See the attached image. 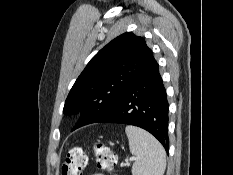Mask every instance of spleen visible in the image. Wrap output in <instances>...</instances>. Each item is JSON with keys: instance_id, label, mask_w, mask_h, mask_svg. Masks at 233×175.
<instances>
[{"instance_id": "3e777b00", "label": "spleen", "mask_w": 233, "mask_h": 175, "mask_svg": "<svg viewBox=\"0 0 233 175\" xmlns=\"http://www.w3.org/2000/svg\"><path fill=\"white\" fill-rule=\"evenodd\" d=\"M129 149L135 156L132 175H163L166 168V154L160 142L147 131L136 127L125 128Z\"/></svg>"}]
</instances>
